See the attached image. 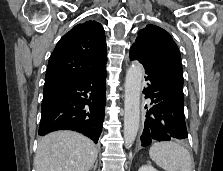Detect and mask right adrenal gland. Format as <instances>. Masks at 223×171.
Instances as JSON below:
<instances>
[{
	"label": "right adrenal gland",
	"instance_id": "obj_1",
	"mask_svg": "<svg viewBox=\"0 0 223 171\" xmlns=\"http://www.w3.org/2000/svg\"><path fill=\"white\" fill-rule=\"evenodd\" d=\"M97 164H98V161L96 160L95 164L92 166V168L90 169V171L93 169V171L96 170L97 168Z\"/></svg>",
	"mask_w": 223,
	"mask_h": 171
}]
</instances>
